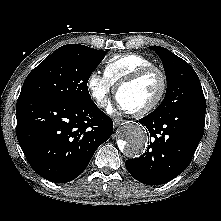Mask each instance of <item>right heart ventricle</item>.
Wrapping results in <instances>:
<instances>
[{"instance_id": "obj_1", "label": "right heart ventricle", "mask_w": 221, "mask_h": 221, "mask_svg": "<svg viewBox=\"0 0 221 221\" xmlns=\"http://www.w3.org/2000/svg\"><path fill=\"white\" fill-rule=\"evenodd\" d=\"M152 65H154L153 61L142 54H117L107 60L104 66V75L115 86L136 70Z\"/></svg>"}]
</instances>
